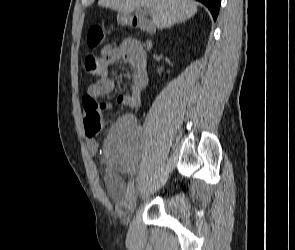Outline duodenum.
Wrapping results in <instances>:
<instances>
[{"label":"duodenum","mask_w":295,"mask_h":250,"mask_svg":"<svg viewBox=\"0 0 295 250\" xmlns=\"http://www.w3.org/2000/svg\"><path fill=\"white\" fill-rule=\"evenodd\" d=\"M128 21H129L131 26H133L135 28H138V29H141V30L147 32L150 35H152L154 33V26L151 24V22H149L146 19L139 18V17H136V16H129ZM152 44H153L152 40L148 39L145 42V48L150 49L152 47ZM142 65L144 67V71L142 73H143V75H146L147 71H146V58H145V55L142 58Z\"/></svg>","instance_id":"410a0bca"}]
</instances>
